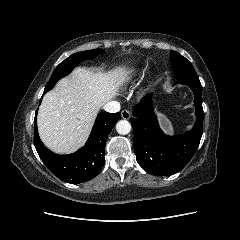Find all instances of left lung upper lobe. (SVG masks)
I'll list each match as a JSON object with an SVG mask.
<instances>
[{
  "mask_svg": "<svg viewBox=\"0 0 240 240\" xmlns=\"http://www.w3.org/2000/svg\"><path fill=\"white\" fill-rule=\"evenodd\" d=\"M170 59L172 61L171 66L174 69L175 78L177 80H199L198 75L190 61L183 57L181 54L171 51Z\"/></svg>",
  "mask_w": 240,
  "mask_h": 240,
  "instance_id": "obj_1",
  "label": "left lung upper lobe"
}]
</instances>
